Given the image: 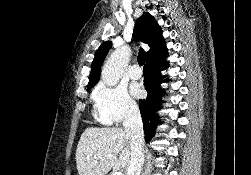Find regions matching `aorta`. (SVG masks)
Segmentation results:
<instances>
[{
	"label": "aorta",
	"mask_w": 251,
	"mask_h": 175,
	"mask_svg": "<svg viewBox=\"0 0 251 175\" xmlns=\"http://www.w3.org/2000/svg\"><path fill=\"white\" fill-rule=\"evenodd\" d=\"M131 50L128 46L117 48L108 58L101 72V80L106 86H116L120 82L130 60Z\"/></svg>",
	"instance_id": "762f6f07"
}]
</instances>
